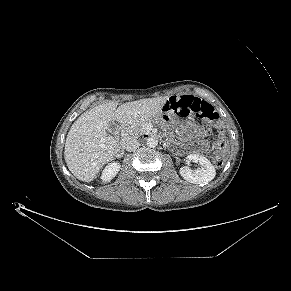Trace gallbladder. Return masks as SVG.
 <instances>
[{
	"label": "gallbladder",
	"mask_w": 291,
	"mask_h": 291,
	"mask_svg": "<svg viewBox=\"0 0 291 291\" xmlns=\"http://www.w3.org/2000/svg\"><path fill=\"white\" fill-rule=\"evenodd\" d=\"M115 130H116V124L115 123H111L110 131L108 132V134L114 135L115 134Z\"/></svg>",
	"instance_id": "obj_1"
}]
</instances>
